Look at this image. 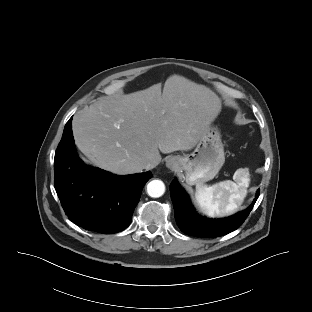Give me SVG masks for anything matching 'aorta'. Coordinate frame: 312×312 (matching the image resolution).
Returning a JSON list of instances; mask_svg holds the SVG:
<instances>
[{"label":"aorta","instance_id":"aorta-1","mask_svg":"<svg viewBox=\"0 0 312 312\" xmlns=\"http://www.w3.org/2000/svg\"><path fill=\"white\" fill-rule=\"evenodd\" d=\"M165 192V185L161 180H152L147 185V193L150 197L158 198Z\"/></svg>","mask_w":312,"mask_h":312}]
</instances>
